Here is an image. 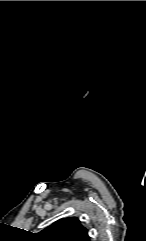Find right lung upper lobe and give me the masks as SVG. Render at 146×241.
I'll return each instance as SVG.
<instances>
[{"label": "right lung upper lobe", "mask_w": 146, "mask_h": 241, "mask_svg": "<svg viewBox=\"0 0 146 241\" xmlns=\"http://www.w3.org/2000/svg\"><path fill=\"white\" fill-rule=\"evenodd\" d=\"M34 237L36 241H90L88 230L76 217L60 219Z\"/></svg>", "instance_id": "1"}]
</instances>
